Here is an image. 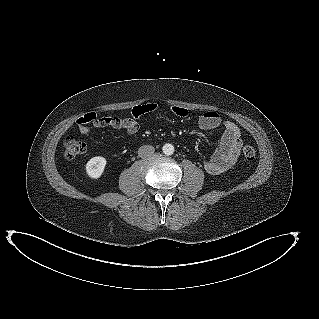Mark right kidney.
<instances>
[{
    "label": "right kidney",
    "instance_id": "ca27d5eb",
    "mask_svg": "<svg viewBox=\"0 0 319 319\" xmlns=\"http://www.w3.org/2000/svg\"><path fill=\"white\" fill-rule=\"evenodd\" d=\"M106 159L102 156L91 158L86 164V173L93 179H98L104 172L106 166Z\"/></svg>",
    "mask_w": 319,
    "mask_h": 319
}]
</instances>
